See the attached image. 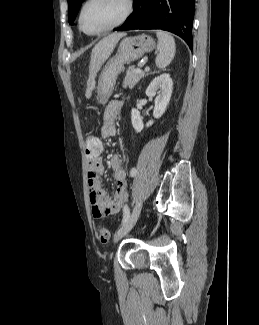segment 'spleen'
Listing matches in <instances>:
<instances>
[{
  "mask_svg": "<svg viewBox=\"0 0 259 325\" xmlns=\"http://www.w3.org/2000/svg\"><path fill=\"white\" fill-rule=\"evenodd\" d=\"M158 38L156 66L160 69L167 67L175 56V40L165 31L156 32Z\"/></svg>",
  "mask_w": 259,
  "mask_h": 325,
  "instance_id": "3e777b00",
  "label": "spleen"
}]
</instances>
